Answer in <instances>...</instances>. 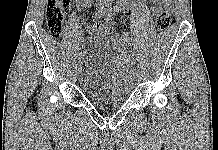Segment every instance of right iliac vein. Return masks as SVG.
I'll return each mask as SVG.
<instances>
[{"label": "right iliac vein", "mask_w": 218, "mask_h": 150, "mask_svg": "<svg viewBox=\"0 0 218 150\" xmlns=\"http://www.w3.org/2000/svg\"><path fill=\"white\" fill-rule=\"evenodd\" d=\"M80 61V58L78 59V62ZM79 70H80V68L78 67L77 69H76V75L79 73Z\"/></svg>", "instance_id": "1"}]
</instances>
